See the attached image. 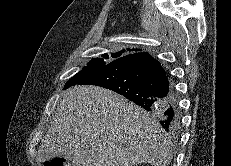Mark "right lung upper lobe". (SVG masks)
Returning <instances> with one entry per match:
<instances>
[{
	"mask_svg": "<svg viewBox=\"0 0 231 166\" xmlns=\"http://www.w3.org/2000/svg\"><path fill=\"white\" fill-rule=\"evenodd\" d=\"M127 50L128 51H140L139 49H127ZM123 52H125V50H121L120 52L112 54V55L116 56V59H118V58L123 57V56H121ZM139 54H142V53H134V54H130V55H139Z\"/></svg>",
	"mask_w": 231,
	"mask_h": 166,
	"instance_id": "obj_1",
	"label": "right lung upper lobe"
}]
</instances>
